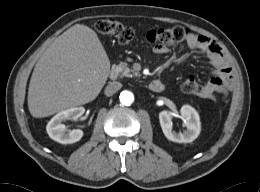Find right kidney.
Listing matches in <instances>:
<instances>
[{
  "instance_id": "obj_1",
  "label": "right kidney",
  "mask_w": 260,
  "mask_h": 192,
  "mask_svg": "<svg viewBox=\"0 0 260 192\" xmlns=\"http://www.w3.org/2000/svg\"><path fill=\"white\" fill-rule=\"evenodd\" d=\"M84 112V107H72L56 114L46 126L49 137L61 144H72L79 141L83 136V131L80 129L67 131L62 122L68 119H78Z\"/></svg>"
}]
</instances>
